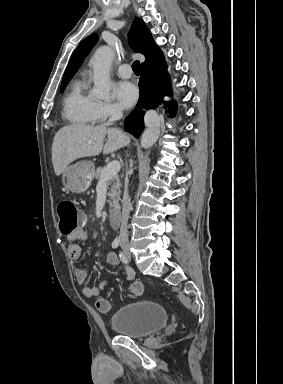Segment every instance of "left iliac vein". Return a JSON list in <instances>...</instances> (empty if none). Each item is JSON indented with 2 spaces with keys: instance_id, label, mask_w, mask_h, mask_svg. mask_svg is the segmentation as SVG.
Listing matches in <instances>:
<instances>
[{
  "instance_id": "4c4485c4",
  "label": "left iliac vein",
  "mask_w": 283,
  "mask_h": 384,
  "mask_svg": "<svg viewBox=\"0 0 283 384\" xmlns=\"http://www.w3.org/2000/svg\"><path fill=\"white\" fill-rule=\"evenodd\" d=\"M126 255H127V262H128V260H130L131 257H130V254L128 252L126 253Z\"/></svg>"
}]
</instances>
